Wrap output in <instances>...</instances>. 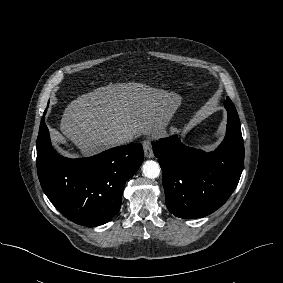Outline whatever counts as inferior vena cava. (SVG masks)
Returning a JSON list of instances; mask_svg holds the SVG:
<instances>
[{"mask_svg": "<svg viewBox=\"0 0 283 283\" xmlns=\"http://www.w3.org/2000/svg\"><path fill=\"white\" fill-rule=\"evenodd\" d=\"M132 141V137L125 134L117 135L113 140L112 143L114 145H124Z\"/></svg>", "mask_w": 283, "mask_h": 283, "instance_id": "1", "label": "inferior vena cava"}]
</instances>
